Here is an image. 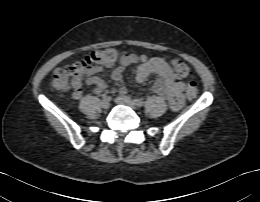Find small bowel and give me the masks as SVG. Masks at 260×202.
<instances>
[{
  "label": "small bowel",
  "instance_id": "obj_1",
  "mask_svg": "<svg viewBox=\"0 0 260 202\" xmlns=\"http://www.w3.org/2000/svg\"><path fill=\"white\" fill-rule=\"evenodd\" d=\"M138 62L136 81L143 83L150 75H156L157 79L149 90L166 99L174 110H179L183 104L182 93L185 90V83L175 80L171 67L162 57L137 56L135 54L123 55L119 65L111 72L112 80L118 84L119 93L125 94L127 91L122 73ZM98 71L99 69H92L73 78L74 90L72 96L74 99L82 97L83 82L93 87L95 93H101L106 89V83L95 75Z\"/></svg>",
  "mask_w": 260,
  "mask_h": 202
}]
</instances>
